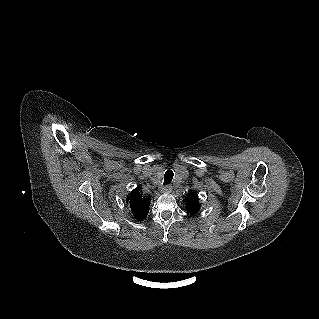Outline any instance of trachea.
I'll return each instance as SVG.
<instances>
[{"instance_id": "1", "label": "trachea", "mask_w": 319, "mask_h": 319, "mask_svg": "<svg viewBox=\"0 0 319 319\" xmlns=\"http://www.w3.org/2000/svg\"><path fill=\"white\" fill-rule=\"evenodd\" d=\"M174 173L172 170H167L164 174V185H168L173 179Z\"/></svg>"}]
</instances>
